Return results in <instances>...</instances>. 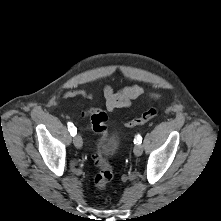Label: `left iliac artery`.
I'll return each instance as SVG.
<instances>
[{"mask_svg":"<svg viewBox=\"0 0 221 221\" xmlns=\"http://www.w3.org/2000/svg\"><path fill=\"white\" fill-rule=\"evenodd\" d=\"M141 142H142V137L140 135L136 136V138L134 139V143L141 144Z\"/></svg>","mask_w":221,"mask_h":221,"instance_id":"44dca946","label":"left iliac artery"}]
</instances>
